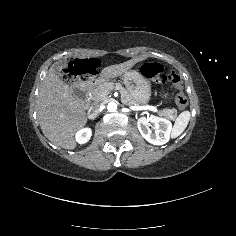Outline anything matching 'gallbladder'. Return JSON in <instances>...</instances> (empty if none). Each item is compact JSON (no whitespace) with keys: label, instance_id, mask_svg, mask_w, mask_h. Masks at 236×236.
Instances as JSON below:
<instances>
[{"label":"gallbladder","instance_id":"gallbladder-1","mask_svg":"<svg viewBox=\"0 0 236 236\" xmlns=\"http://www.w3.org/2000/svg\"><path fill=\"white\" fill-rule=\"evenodd\" d=\"M67 60L66 59H62L60 61H57L54 65L53 68L55 70V73L58 77L63 76V72L62 69L67 68Z\"/></svg>","mask_w":236,"mask_h":236}]
</instances>
